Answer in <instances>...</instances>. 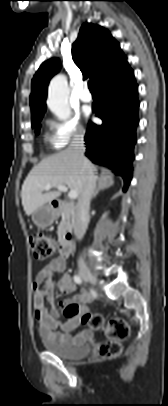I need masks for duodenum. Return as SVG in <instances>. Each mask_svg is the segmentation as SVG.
Instances as JSON below:
<instances>
[{"label": "duodenum", "instance_id": "1", "mask_svg": "<svg viewBox=\"0 0 168 406\" xmlns=\"http://www.w3.org/2000/svg\"><path fill=\"white\" fill-rule=\"evenodd\" d=\"M51 206L54 210L56 211H61L66 208L69 210H74L75 205L74 203H66L61 200H52ZM73 252V235L71 233L65 234L61 239H60V253L63 257H69Z\"/></svg>", "mask_w": 168, "mask_h": 406}]
</instances>
